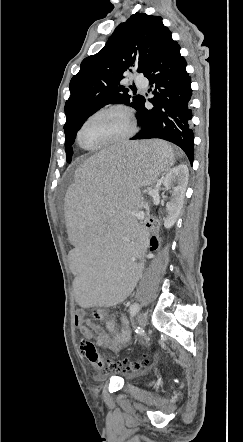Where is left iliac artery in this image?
Listing matches in <instances>:
<instances>
[{
	"label": "left iliac artery",
	"mask_w": 243,
	"mask_h": 442,
	"mask_svg": "<svg viewBox=\"0 0 243 442\" xmlns=\"http://www.w3.org/2000/svg\"><path fill=\"white\" fill-rule=\"evenodd\" d=\"M139 309H140V306L138 303L132 304L129 309L131 316H134L139 311ZM136 332H138V330H136Z\"/></svg>",
	"instance_id": "44dca946"
}]
</instances>
